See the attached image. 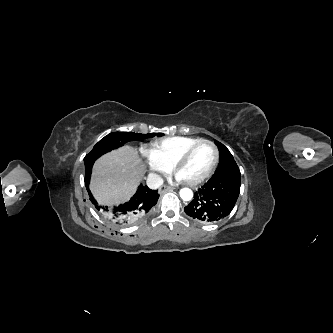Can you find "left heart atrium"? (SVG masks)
Returning <instances> with one entry per match:
<instances>
[{
  "label": "left heart atrium",
  "instance_id": "left-heart-atrium-1",
  "mask_svg": "<svg viewBox=\"0 0 333 333\" xmlns=\"http://www.w3.org/2000/svg\"><path fill=\"white\" fill-rule=\"evenodd\" d=\"M177 180H183L181 177L177 176Z\"/></svg>",
  "mask_w": 333,
  "mask_h": 333
}]
</instances>
